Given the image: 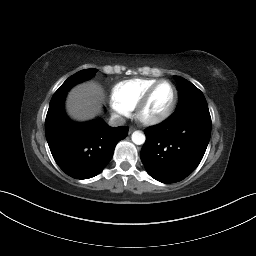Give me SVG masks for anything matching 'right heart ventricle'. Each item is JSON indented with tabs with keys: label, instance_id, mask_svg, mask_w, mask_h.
<instances>
[{
	"label": "right heart ventricle",
	"instance_id": "1",
	"mask_svg": "<svg viewBox=\"0 0 256 256\" xmlns=\"http://www.w3.org/2000/svg\"><path fill=\"white\" fill-rule=\"evenodd\" d=\"M157 81L156 79L136 78L119 82L111 91L113 106L124 108L127 111L133 110L148 88Z\"/></svg>",
	"mask_w": 256,
	"mask_h": 256
}]
</instances>
